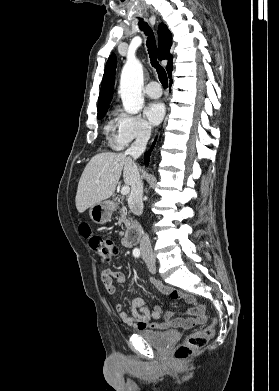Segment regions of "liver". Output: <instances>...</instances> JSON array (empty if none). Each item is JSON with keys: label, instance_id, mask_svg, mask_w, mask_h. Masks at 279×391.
<instances>
[{"label": "liver", "instance_id": "liver-1", "mask_svg": "<svg viewBox=\"0 0 279 391\" xmlns=\"http://www.w3.org/2000/svg\"><path fill=\"white\" fill-rule=\"evenodd\" d=\"M132 160L121 153L103 152L86 165L78 183L76 208L79 213L111 197L123 171L125 184L131 183ZM98 181V182H97Z\"/></svg>", "mask_w": 279, "mask_h": 391}]
</instances>
